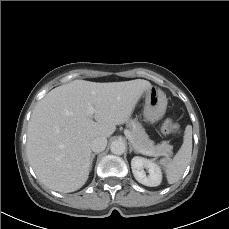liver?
<instances>
[{"label": "liver", "instance_id": "obj_1", "mask_svg": "<svg viewBox=\"0 0 229 229\" xmlns=\"http://www.w3.org/2000/svg\"><path fill=\"white\" fill-rule=\"evenodd\" d=\"M151 87L143 79L74 80L46 94L35 107L27 132V155L38 179L58 192L80 189L90 172L92 140L110 137L117 125L127 122ZM88 104L96 110L92 116Z\"/></svg>", "mask_w": 229, "mask_h": 229}]
</instances>
